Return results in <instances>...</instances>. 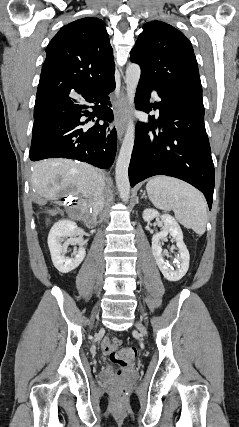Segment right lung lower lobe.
Listing matches in <instances>:
<instances>
[{
	"instance_id": "obj_1",
	"label": "right lung lower lobe",
	"mask_w": 239,
	"mask_h": 427,
	"mask_svg": "<svg viewBox=\"0 0 239 427\" xmlns=\"http://www.w3.org/2000/svg\"><path fill=\"white\" fill-rule=\"evenodd\" d=\"M114 89L113 76L100 85L64 90L44 99L45 105L34 117L30 159L63 157L109 168L116 155L115 128L109 123L91 127L86 123L94 118L113 120L108 94Z\"/></svg>"
}]
</instances>
